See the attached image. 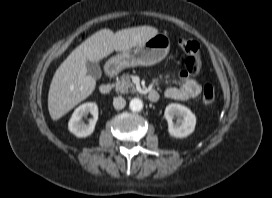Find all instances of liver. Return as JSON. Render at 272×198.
<instances>
[{
    "label": "liver",
    "instance_id": "obj_1",
    "mask_svg": "<svg viewBox=\"0 0 272 198\" xmlns=\"http://www.w3.org/2000/svg\"><path fill=\"white\" fill-rule=\"evenodd\" d=\"M158 34L151 26L126 28L113 33L101 29L76 47L56 70L48 93V110L58 120L92 94L96 81L86 62H99L114 51H127Z\"/></svg>",
    "mask_w": 272,
    "mask_h": 198
}]
</instances>
